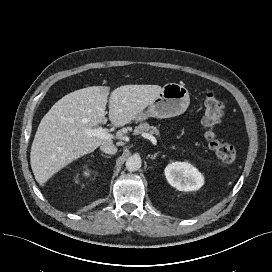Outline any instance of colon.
<instances>
[{
	"mask_svg": "<svg viewBox=\"0 0 272 272\" xmlns=\"http://www.w3.org/2000/svg\"><path fill=\"white\" fill-rule=\"evenodd\" d=\"M224 111L223 102L214 94L206 95L203 105L202 124L205 128V138L209 148L218 159L225 163L234 162L237 158L236 150L219 134L218 126Z\"/></svg>",
	"mask_w": 272,
	"mask_h": 272,
	"instance_id": "1",
	"label": "colon"
}]
</instances>
